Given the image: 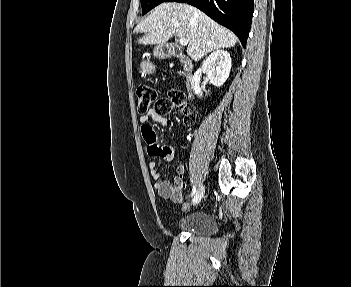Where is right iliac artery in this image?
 Instances as JSON below:
<instances>
[{
	"label": "right iliac artery",
	"mask_w": 351,
	"mask_h": 287,
	"mask_svg": "<svg viewBox=\"0 0 351 287\" xmlns=\"http://www.w3.org/2000/svg\"><path fill=\"white\" fill-rule=\"evenodd\" d=\"M196 193V186H193V189H192V196Z\"/></svg>",
	"instance_id": "82829eb1"
}]
</instances>
